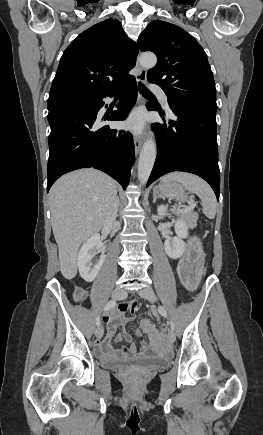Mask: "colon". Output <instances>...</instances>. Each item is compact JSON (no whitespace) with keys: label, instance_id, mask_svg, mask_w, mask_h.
I'll return each mask as SVG.
<instances>
[{"label":"colon","instance_id":"colon-1","mask_svg":"<svg viewBox=\"0 0 263 435\" xmlns=\"http://www.w3.org/2000/svg\"><path fill=\"white\" fill-rule=\"evenodd\" d=\"M84 290L83 289H81V288H77L76 289V292H75V298L77 299V300H80V299H82L83 297H84ZM170 328V325L169 324H162L161 325V331L166 335L168 332H167V330ZM150 341H152L151 339H150ZM161 343H162V340H161ZM127 379L130 381V382H136V381H138V379H139V375L137 374V373H131V374H129L128 376H127Z\"/></svg>","mask_w":263,"mask_h":435}]
</instances>
